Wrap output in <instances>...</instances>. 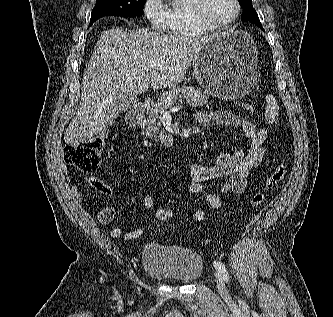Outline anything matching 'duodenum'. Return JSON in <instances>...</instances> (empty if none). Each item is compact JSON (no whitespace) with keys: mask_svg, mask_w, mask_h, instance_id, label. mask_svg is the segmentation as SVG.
Wrapping results in <instances>:
<instances>
[{"mask_svg":"<svg viewBox=\"0 0 333 317\" xmlns=\"http://www.w3.org/2000/svg\"><path fill=\"white\" fill-rule=\"evenodd\" d=\"M153 99L148 97L130 111L127 116V123L130 127H137L142 123L145 112L152 106Z\"/></svg>","mask_w":333,"mask_h":317,"instance_id":"1","label":"duodenum"}]
</instances>
